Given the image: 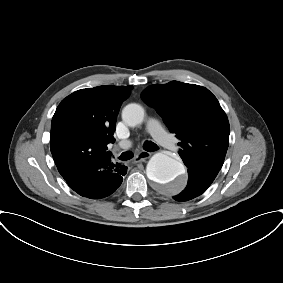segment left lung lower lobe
Segmentation results:
<instances>
[{"mask_svg": "<svg viewBox=\"0 0 283 283\" xmlns=\"http://www.w3.org/2000/svg\"><path fill=\"white\" fill-rule=\"evenodd\" d=\"M188 184L184 191L173 198L177 201H187L193 199L203 192L211 185L215 178L198 173L193 170H188Z\"/></svg>", "mask_w": 283, "mask_h": 283, "instance_id": "1", "label": "left lung lower lobe"}]
</instances>
